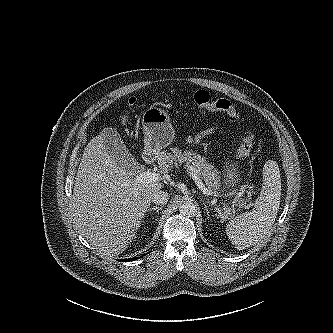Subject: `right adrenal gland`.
<instances>
[{"label": "right adrenal gland", "instance_id": "2a0ac1e0", "mask_svg": "<svg viewBox=\"0 0 333 333\" xmlns=\"http://www.w3.org/2000/svg\"><path fill=\"white\" fill-rule=\"evenodd\" d=\"M160 210H162V207L154 206L152 208H149L148 212L156 211L157 213H159Z\"/></svg>", "mask_w": 333, "mask_h": 333}]
</instances>
